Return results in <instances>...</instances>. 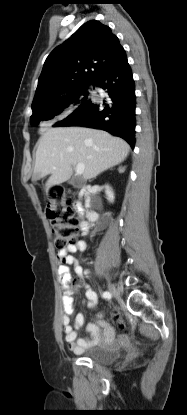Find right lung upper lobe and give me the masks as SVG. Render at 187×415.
Masks as SVG:
<instances>
[{"instance_id": "cb5924a9", "label": "right lung upper lobe", "mask_w": 187, "mask_h": 415, "mask_svg": "<svg viewBox=\"0 0 187 415\" xmlns=\"http://www.w3.org/2000/svg\"><path fill=\"white\" fill-rule=\"evenodd\" d=\"M124 48L108 26L91 20L47 57L32 108L53 104L78 87L93 83Z\"/></svg>"}]
</instances>
